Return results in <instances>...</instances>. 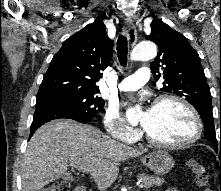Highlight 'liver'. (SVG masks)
<instances>
[{
	"mask_svg": "<svg viewBox=\"0 0 221 191\" xmlns=\"http://www.w3.org/2000/svg\"><path fill=\"white\" fill-rule=\"evenodd\" d=\"M146 152L116 142L93 126L53 120L40 127L29 141L21 168L22 191H38L67 175L68 163L88 169L95 183L107 188L118 176L117 162Z\"/></svg>",
	"mask_w": 221,
	"mask_h": 191,
	"instance_id": "obj_1",
	"label": "liver"
}]
</instances>
